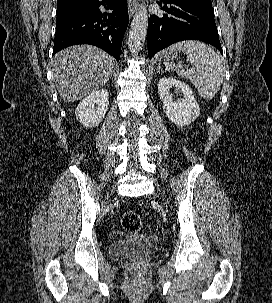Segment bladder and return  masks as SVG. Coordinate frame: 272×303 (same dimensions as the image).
I'll use <instances>...</instances> for the list:
<instances>
[{
	"mask_svg": "<svg viewBox=\"0 0 272 303\" xmlns=\"http://www.w3.org/2000/svg\"><path fill=\"white\" fill-rule=\"evenodd\" d=\"M154 248L155 245L150 236L138 232H130L110 245V253L114 258L122 259L150 253Z\"/></svg>",
	"mask_w": 272,
	"mask_h": 303,
	"instance_id": "obj_1",
	"label": "bladder"
}]
</instances>
